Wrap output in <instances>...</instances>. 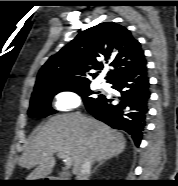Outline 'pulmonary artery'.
I'll use <instances>...</instances> for the list:
<instances>
[{"label": "pulmonary artery", "mask_w": 178, "mask_h": 186, "mask_svg": "<svg viewBox=\"0 0 178 186\" xmlns=\"http://www.w3.org/2000/svg\"><path fill=\"white\" fill-rule=\"evenodd\" d=\"M99 86H100L101 88H107V87H108V85H107L105 82H100V83H99Z\"/></svg>", "instance_id": "pulmonary-artery-1"}]
</instances>
